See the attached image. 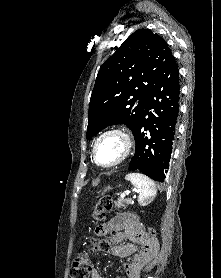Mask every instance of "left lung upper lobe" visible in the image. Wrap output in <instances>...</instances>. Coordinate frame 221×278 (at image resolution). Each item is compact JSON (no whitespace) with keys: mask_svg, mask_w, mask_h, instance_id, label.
<instances>
[{"mask_svg":"<svg viewBox=\"0 0 221 278\" xmlns=\"http://www.w3.org/2000/svg\"><path fill=\"white\" fill-rule=\"evenodd\" d=\"M100 67L92 91L86 137L125 124L134 133L145 100L173 57L165 40L148 29L131 34Z\"/></svg>","mask_w":221,"mask_h":278,"instance_id":"obj_1","label":"left lung upper lobe"}]
</instances>
